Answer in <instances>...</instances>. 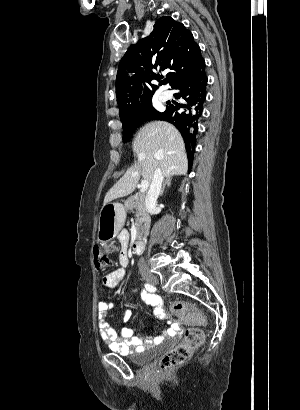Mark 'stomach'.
Returning <instances> with one entry per match:
<instances>
[{"instance_id":"0dacf381","label":"stomach","mask_w":300,"mask_h":410,"mask_svg":"<svg viewBox=\"0 0 300 410\" xmlns=\"http://www.w3.org/2000/svg\"><path fill=\"white\" fill-rule=\"evenodd\" d=\"M125 218L126 211L121 203L103 205L99 216L98 240L106 241L116 237L124 225Z\"/></svg>"}]
</instances>
